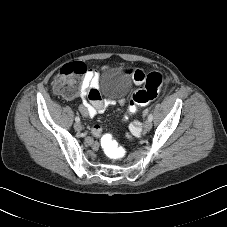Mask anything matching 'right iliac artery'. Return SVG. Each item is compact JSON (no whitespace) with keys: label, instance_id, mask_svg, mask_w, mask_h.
Wrapping results in <instances>:
<instances>
[{"label":"right iliac artery","instance_id":"82829eb1","mask_svg":"<svg viewBox=\"0 0 227 227\" xmlns=\"http://www.w3.org/2000/svg\"><path fill=\"white\" fill-rule=\"evenodd\" d=\"M75 121H76V122H80V118L77 116V117L75 118Z\"/></svg>","mask_w":227,"mask_h":227}]
</instances>
